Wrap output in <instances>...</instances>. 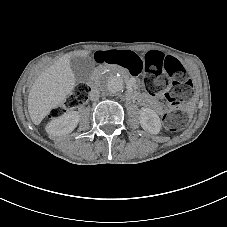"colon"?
<instances>
[{
    "instance_id": "colon-1",
    "label": "colon",
    "mask_w": 227,
    "mask_h": 227,
    "mask_svg": "<svg viewBox=\"0 0 227 227\" xmlns=\"http://www.w3.org/2000/svg\"><path fill=\"white\" fill-rule=\"evenodd\" d=\"M98 63H107L127 69L132 75H138L145 70L144 83L153 95H159L161 103L168 107H176L188 99L192 94V82L186 74L185 68L180 62L171 56H159L155 52H149L140 57L131 51H99L94 56ZM167 74L172 80V88L165 91ZM90 87L87 84H79L74 92L62 105L52 110V117H58L70 109L84 105L88 101ZM186 121V115L180 110L174 109L163 116V123L170 131L181 129Z\"/></svg>"
}]
</instances>
